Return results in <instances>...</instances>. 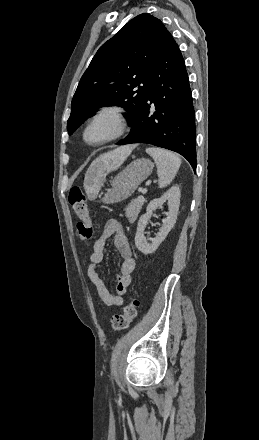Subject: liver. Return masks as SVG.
I'll use <instances>...</instances> for the list:
<instances>
[{
    "label": "liver",
    "instance_id": "obj_1",
    "mask_svg": "<svg viewBox=\"0 0 259 440\" xmlns=\"http://www.w3.org/2000/svg\"><path fill=\"white\" fill-rule=\"evenodd\" d=\"M134 145H126L119 147L113 151L100 155L92 164L85 175L84 187L86 193L95 198L101 186L103 185L105 176L111 171L117 170L127 159L134 149ZM91 171V174L89 175ZM92 180V186H88L86 181Z\"/></svg>",
    "mask_w": 259,
    "mask_h": 440
}]
</instances>
